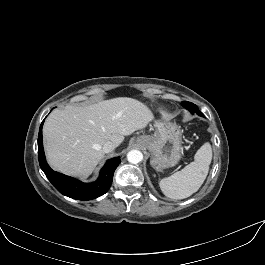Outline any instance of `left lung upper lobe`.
<instances>
[{"instance_id": "5c2ea615", "label": "left lung upper lobe", "mask_w": 265, "mask_h": 265, "mask_svg": "<svg viewBox=\"0 0 265 265\" xmlns=\"http://www.w3.org/2000/svg\"><path fill=\"white\" fill-rule=\"evenodd\" d=\"M181 105H182L183 107H186V109H188L191 113L196 112L198 115H201V114H202V113L198 110V107H197L195 104L191 103V102L183 101V102L181 103Z\"/></svg>"}]
</instances>
